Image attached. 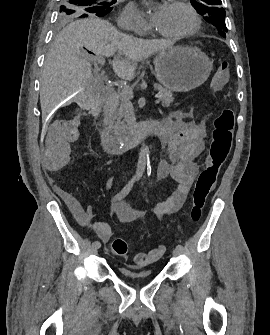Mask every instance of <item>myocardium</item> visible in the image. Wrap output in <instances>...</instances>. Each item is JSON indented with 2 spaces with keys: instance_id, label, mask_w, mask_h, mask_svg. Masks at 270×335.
<instances>
[{
  "instance_id": "1",
  "label": "myocardium",
  "mask_w": 270,
  "mask_h": 335,
  "mask_svg": "<svg viewBox=\"0 0 270 335\" xmlns=\"http://www.w3.org/2000/svg\"><path fill=\"white\" fill-rule=\"evenodd\" d=\"M174 7L185 8L191 14V16L193 18V26L189 30H187L183 33L169 35L168 37H172V38H176V39H183V38L190 37L193 34H195L197 31H199V29L201 28V25H202V20H201L199 14L197 13V11L195 10V8L192 6V4L176 2L174 4ZM173 78H180V77H173ZM200 78H204V77H200Z\"/></svg>"
}]
</instances>
